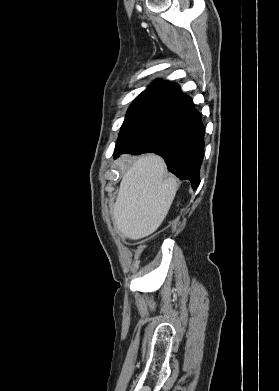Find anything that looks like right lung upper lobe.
I'll use <instances>...</instances> for the list:
<instances>
[{
  "instance_id": "obj_1",
  "label": "right lung upper lobe",
  "mask_w": 279,
  "mask_h": 391,
  "mask_svg": "<svg viewBox=\"0 0 279 391\" xmlns=\"http://www.w3.org/2000/svg\"><path fill=\"white\" fill-rule=\"evenodd\" d=\"M183 96L178 84L157 80L137 96L129 109H163Z\"/></svg>"
}]
</instances>
